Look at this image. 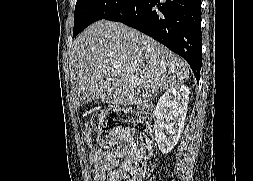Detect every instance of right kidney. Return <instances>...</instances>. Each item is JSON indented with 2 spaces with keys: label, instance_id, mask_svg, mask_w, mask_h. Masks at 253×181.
<instances>
[{
  "label": "right kidney",
  "instance_id": "right-kidney-1",
  "mask_svg": "<svg viewBox=\"0 0 253 181\" xmlns=\"http://www.w3.org/2000/svg\"><path fill=\"white\" fill-rule=\"evenodd\" d=\"M188 95L187 86L175 85L161 96L156 105L154 133L162 154L171 152L180 138L187 114Z\"/></svg>",
  "mask_w": 253,
  "mask_h": 181
}]
</instances>
